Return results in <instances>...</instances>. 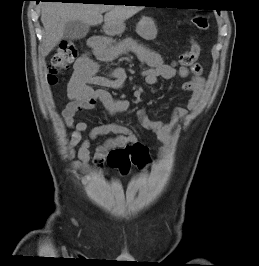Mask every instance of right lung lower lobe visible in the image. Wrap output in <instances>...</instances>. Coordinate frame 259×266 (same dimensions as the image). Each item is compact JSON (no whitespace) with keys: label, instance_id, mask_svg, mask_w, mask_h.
<instances>
[{"label":"right lung lower lobe","instance_id":"1","mask_svg":"<svg viewBox=\"0 0 259 266\" xmlns=\"http://www.w3.org/2000/svg\"><path fill=\"white\" fill-rule=\"evenodd\" d=\"M35 1H37V3H38L39 1H44V0H35ZM51 1H61L63 3L64 1H68V0H51Z\"/></svg>","mask_w":259,"mask_h":266}]
</instances>
